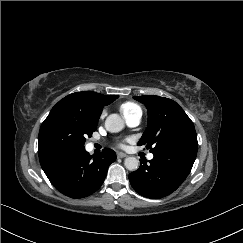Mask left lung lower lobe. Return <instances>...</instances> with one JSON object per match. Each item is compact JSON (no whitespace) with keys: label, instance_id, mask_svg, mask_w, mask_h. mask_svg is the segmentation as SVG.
Returning <instances> with one entry per match:
<instances>
[{"label":"left lung lower lobe","instance_id":"left-lung-lower-lobe-1","mask_svg":"<svg viewBox=\"0 0 243 243\" xmlns=\"http://www.w3.org/2000/svg\"><path fill=\"white\" fill-rule=\"evenodd\" d=\"M197 142L176 143L159 152L147 165L129 174L133 189L147 198H162L174 192L189 175L197 154Z\"/></svg>","mask_w":243,"mask_h":243}]
</instances>
